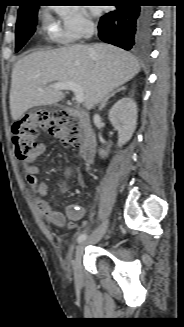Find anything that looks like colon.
Wrapping results in <instances>:
<instances>
[{"instance_id":"colon-1","label":"colon","mask_w":184,"mask_h":327,"mask_svg":"<svg viewBox=\"0 0 184 327\" xmlns=\"http://www.w3.org/2000/svg\"><path fill=\"white\" fill-rule=\"evenodd\" d=\"M40 129L47 130L65 145L81 146L84 136L80 123L63 109H38L12 126V142L18 159L25 161L37 147Z\"/></svg>"}]
</instances>
